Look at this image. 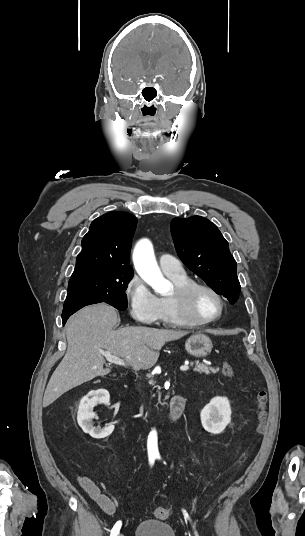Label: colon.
Listing matches in <instances>:
<instances>
[{
  "mask_svg": "<svg viewBox=\"0 0 305 536\" xmlns=\"http://www.w3.org/2000/svg\"><path fill=\"white\" fill-rule=\"evenodd\" d=\"M222 374L226 377H234L235 370L229 361L222 362L221 365ZM268 397L264 390H260L256 394V403L258 406V428L262 429L265 425L266 419V405ZM172 511L169 506H158L154 509V516L157 519H165L171 515Z\"/></svg>",
  "mask_w": 305,
  "mask_h": 536,
  "instance_id": "1",
  "label": "colon"
}]
</instances>
